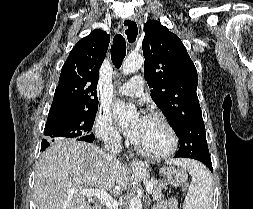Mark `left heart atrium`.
I'll use <instances>...</instances> for the list:
<instances>
[{"label":"left heart atrium","mask_w":253,"mask_h":209,"mask_svg":"<svg viewBox=\"0 0 253 209\" xmlns=\"http://www.w3.org/2000/svg\"><path fill=\"white\" fill-rule=\"evenodd\" d=\"M148 116L143 114L141 115V117L138 119V121L128 130H126V135L134 142H136L140 135H141V132L148 120Z\"/></svg>","instance_id":"obj_1"}]
</instances>
